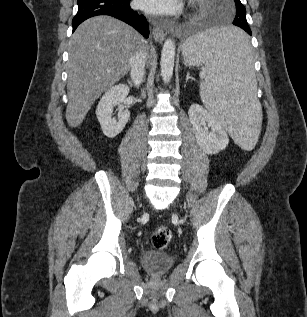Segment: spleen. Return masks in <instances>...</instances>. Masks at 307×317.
<instances>
[{
  "label": "spleen",
  "instance_id": "3e777b00",
  "mask_svg": "<svg viewBox=\"0 0 307 317\" xmlns=\"http://www.w3.org/2000/svg\"><path fill=\"white\" fill-rule=\"evenodd\" d=\"M182 54L190 66L204 65L200 97L210 114L225 127L242 150L259 148L256 135L261 106L246 29L207 26L189 38Z\"/></svg>",
  "mask_w": 307,
  "mask_h": 317
}]
</instances>
